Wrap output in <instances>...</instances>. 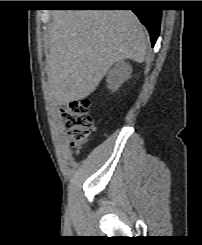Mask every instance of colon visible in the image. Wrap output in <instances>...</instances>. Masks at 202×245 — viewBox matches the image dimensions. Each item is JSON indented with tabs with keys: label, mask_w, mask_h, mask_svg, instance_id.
Segmentation results:
<instances>
[{
	"label": "colon",
	"mask_w": 202,
	"mask_h": 245,
	"mask_svg": "<svg viewBox=\"0 0 202 245\" xmlns=\"http://www.w3.org/2000/svg\"><path fill=\"white\" fill-rule=\"evenodd\" d=\"M61 115L65 120L67 135L73 148H81L93 127L89 100L78 99L71 101L61 108Z\"/></svg>",
	"instance_id": "5ec220e1"
}]
</instances>
